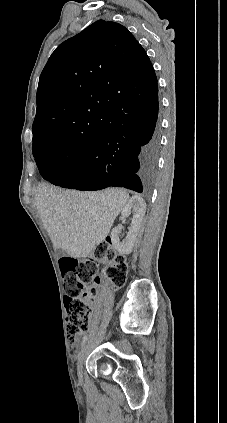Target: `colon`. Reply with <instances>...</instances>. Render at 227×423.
I'll return each instance as SVG.
<instances>
[{"label": "colon", "mask_w": 227, "mask_h": 423, "mask_svg": "<svg viewBox=\"0 0 227 423\" xmlns=\"http://www.w3.org/2000/svg\"><path fill=\"white\" fill-rule=\"evenodd\" d=\"M100 264H104L103 274L116 287L124 285L128 269L126 260L113 250L108 241L98 244L94 254L84 260H60L65 289L66 330L70 342H75L80 334L88 330L90 304L96 290L93 282L99 281Z\"/></svg>", "instance_id": "colon-1"}]
</instances>
